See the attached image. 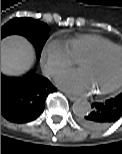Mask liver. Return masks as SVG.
Wrapping results in <instances>:
<instances>
[{
    "label": "liver",
    "instance_id": "liver-1",
    "mask_svg": "<svg viewBox=\"0 0 122 154\" xmlns=\"http://www.w3.org/2000/svg\"><path fill=\"white\" fill-rule=\"evenodd\" d=\"M35 52L32 44L21 36H9L1 41V72L19 76L33 65Z\"/></svg>",
    "mask_w": 122,
    "mask_h": 154
}]
</instances>
